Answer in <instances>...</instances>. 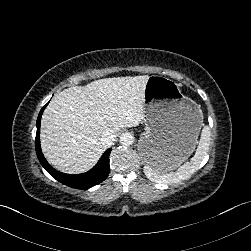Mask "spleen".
<instances>
[{"label": "spleen", "instance_id": "1", "mask_svg": "<svg viewBox=\"0 0 251 251\" xmlns=\"http://www.w3.org/2000/svg\"><path fill=\"white\" fill-rule=\"evenodd\" d=\"M210 141V128L208 126H204L195 155L191 158L190 162H185L182 166H180L177 172H170L166 174V172H163L149 164L144 166V172L150 180L154 182L176 183L185 180L195 172L207 155Z\"/></svg>", "mask_w": 251, "mask_h": 251}]
</instances>
